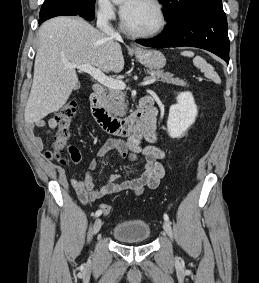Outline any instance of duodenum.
<instances>
[{
	"label": "duodenum",
	"instance_id": "410a0bca",
	"mask_svg": "<svg viewBox=\"0 0 259 283\" xmlns=\"http://www.w3.org/2000/svg\"><path fill=\"white\" fill-rule=\"evenodd\" d=\"M105 89L102 85L96 84L90 96L91 112L98 124L107 133L129 136L149 126L156 116L153 100L144 97L137 111L127 118H116L110 115L103 105Z\"/></svg>",
	"mask_w": 259,
	"mask_h": 283
}]
</instances>
